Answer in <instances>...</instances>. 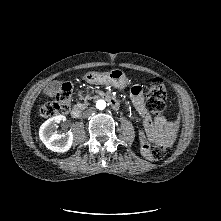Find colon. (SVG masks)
I'll return each mask as SVG.
<instances>
[{
  "mask_svg": "<svg viewBox=\"0 0 221 221\" xmlns=\"http://www.w3.org/2000/svg\"><path fill=\"white\" fill-rule=\"evenodd\" d=\"M166 86L161 78L154 77L150 80L147 90V108L154 114H160L165 107ZM72 101V88L64 85L57 93L53 102L40 109V116L44 118L65 114L69 111ZM166 144L158 143L149 150L152 159L160 160L166 154Z\"/></svg>",
  "mask_w": 221,
  "mask_h": 221,
  "instance_id": "colon-1",
  "label": "colon"
}]
</instances>
